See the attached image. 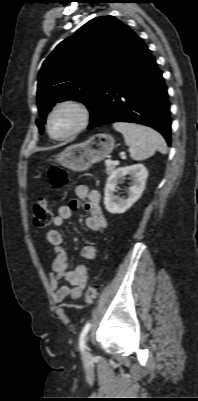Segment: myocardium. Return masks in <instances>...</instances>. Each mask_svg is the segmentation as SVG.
Segmentation results:
<instances>
[{"instance_id": "f54148a6", "label": "myocardium", "mask_w": 198, "mask_h": 401, "mask_svg": "<svg viewBox=\"0 0 198 401\" xmlns=\"http://www.w3.org/2000/svg\"><path fill=\"white\" fill-rule=\"evenodd\" d=\"M72 109L73 111H75L78 115V123L76 125V127L70 131L69 133L62 135V136H54L51 133L50 130V123H51V119L52 116L58 112L61 109ZM91 109L90 107L82 100L79 99H74V98H69V99H64L61 100L59 102H57L49 111L47 118H46V124H45V128H46V132L47 135L55 141H65L67 139H70L76 135H78L79 133H81L83 130H85L88 125L90 124L91 121Z\"/></svg>"}]
</instances>
